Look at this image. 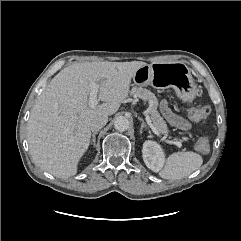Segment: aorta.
Wrapping results in <instances>:
<instances>
[{
    "label": "aorta",
    "mask_w": 241,
    "mask_h": 241,
    "mask_svg": "<svg viewBox=\"0 0 241 241\" xmlns=\"http://www.w3.org/2000/svg\"><path fill=\"white\" fill-rule=\"evenodd\" d=\"M129 126H130V122L124 116H119L114 121V127L118 131H126L129 129Z\"/></svg>",
    "instance_id": "762f6f07"
}]
</instances>
